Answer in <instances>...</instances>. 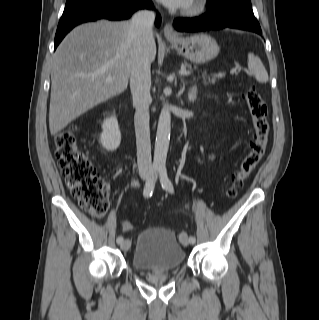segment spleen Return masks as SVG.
Here are the masks:
<instances>
[{
  "label": "spleen",
  "instance_id": "obj_1",
  "mask_svg": "<svg viewBox=\"0 0 319 320\" xmlns=\"http://www.w3.org/2000/svg\"><path fill=\"white\" fill-rule=\"evenodd\" d=\"M248 69L259 83H266L268 81V73L262 61L253 53L248 54Z\"/></svg>",
  "mask_w": 319,
  "mask_h": 320
}]
</instances>
